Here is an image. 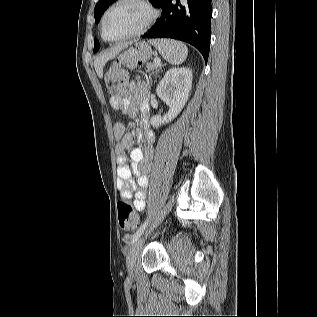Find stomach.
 <instances>
[{"instance_id":"1","label":"stomach","mask_w":317,"mask_h":317,"mask_svg":"<svg viewBox=\"0 0 317 317\" xmlns=\"http://www.w3.org/2000/svg\"><path fill=\"white\" fill-rule=\"evenodd\" d=\"M152 55L151 47L145 42H136L123 51L118 57L121 58L120 65L124 68H133L135 66H148V60Z\"/></svg>"}]
</instances>
